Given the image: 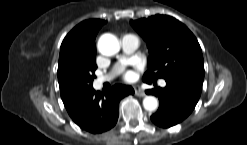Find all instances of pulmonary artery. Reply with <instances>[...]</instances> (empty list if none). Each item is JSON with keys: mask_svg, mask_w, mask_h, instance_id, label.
Instances as JSON below:
<instances>
[{"mask_svg": "<svg viewBox=\"0 0 247 145\" xmlns=\"http://www.w3.org/2000/svg\"><path fill=\"white\" fill-rule=\"evenodd\" d=\"M139 38L134 34H124L121 37V46L124 54H130L134 52L139 47ZM109 77H101L97 80L98 84H102L107 81ZM160 85L164 87L166 82L164 80L160 81Z\"/></svg>", "mask_w": 247, "mask_h": 145, "instance_id": "1", "label": "pulmonary artery"}]
</instances>
